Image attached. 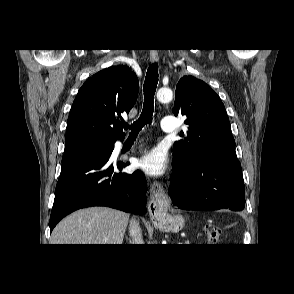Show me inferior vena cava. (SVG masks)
Here are the masks:
<instances>
[{
	"mask_svg": "<svg viewBox=\"0 0 294 294\" xmlns=\"http://www.w3.org/2000/svg\"><path fill=\"white\" fill-rule=\"evenodd\" d=\"M129 231L132 237V244H144L139 223L135 219L130 221Z\"/></svg>",
	"mask_w": 294,
	"mask_h": 294,
	"instance_id": "obj_1",
	"label": "inferior vena cava"
}]
</instances>
